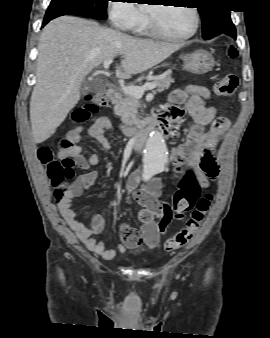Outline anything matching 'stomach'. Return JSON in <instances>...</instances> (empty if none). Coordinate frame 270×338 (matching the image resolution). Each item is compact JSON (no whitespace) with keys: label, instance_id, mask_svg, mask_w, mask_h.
I'll list each match as a JSON object with an SVG mask.
<instances>
[{"label":"stomach","instance_id":"0dacf381","mask_svg":"<svg viewBox=\"0 0 270 338\" xmlns=\"http://www.w3.org/2000/svg\"><path fill=\"white\" fill-rule=\"evenodd\" d=\"M183 69L195 74H205L214 67L213 56L204 50H198L183 57Z\"/></svg>","mask_w":270,"mask_h":338}]
</instances>
